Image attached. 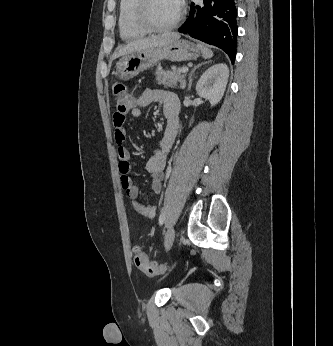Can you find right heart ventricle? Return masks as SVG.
<instances>
[{"mask_svg":"<svg viewBox=\"0 0 333 346\" xmlns=\"http://www.w3.org/2000/svg\"><path fill=\"white\" fill-rule=\"evenodd\" d=\"M138 0H119L118 30L124 41H134L146 35L147 30L137 19Z\"/></svg>","mask_w":333,"mask_h":346,"instance_id":"1","label":"right heart ventricle"}]
</instances>
